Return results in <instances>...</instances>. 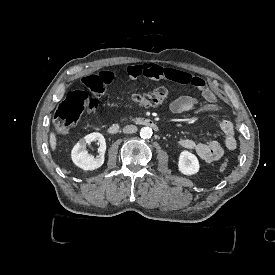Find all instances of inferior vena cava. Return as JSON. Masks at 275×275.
Listing matches in <instances>:
<instances>
[{
  "label": "inferior vena cava",
  "instance_id": "inferior-vena-cava-1",
  "mask_svg": "<svg viewBox=\"0 0 275 275\" xmlns=\"http://www.w3.org/2000/svg\"><path fill=\"white\" fill-rule=\"evenodd\" d=\"M137 132V127L134 125H127L123 128V133L130 134Z\"/></svg>",
  "mask_w": 275,
  "mask_h": 275
}]
</instances>
